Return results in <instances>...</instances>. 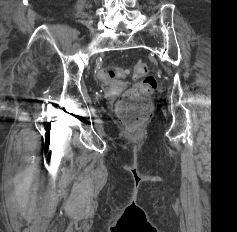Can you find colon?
Segmentation results:
<instances>
[{
	"instance_id": "obj_1",
	"label": "colon",
	"mask_w": 237,
	"mask_h": 232,
	"mask_svg": "<svg viewBox=\"0 0 237 232\" xmlns=\"http://www.w3.org/2000/svg\"><path fill=\"white\" fill-rule=\"evenodd\" d=\"M129 73L135 84L122 94L116 112L124 128L130 134H137L151 115L149 95L157 86L156 79L148 74V64L143 61L136 62L130 71L108 66L99 72V77L103 81H111L124 78Z\"/></svg>"
}]
</instances>
